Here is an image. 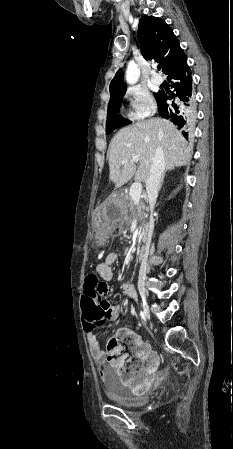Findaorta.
Masks as SVG:
<instances>
[{
  "label": "aorta",
  "mask_w": 233,
  "mask_h": 449,
  "mask_svg": "<svg viewBox=\"0 0 233 449\" xmlns=\"http://www.w3.org/2000/svg\"><path fill=\"white\" fill-rule=\"evenodd\" d=\"M140 77V70L134 61H130L126 70V81L129 84H135Z\"/></svg>",
  "instance_id": "762f6f07"
}]
</instances>
